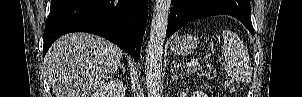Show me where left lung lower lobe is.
Here are the masks:
<instances>
[{"mask_svg": "<svg viewBox=\"0 0 302 97\" xmlns=\"http://www.w3.org/2000/svg\"><path fill=\"white\" fill-rule=\"evenodd\" d=\"M171 4L166 37L188 22L221 14L237 18L254 35L249 0H172Z\"/></svg>", "mask_w": 302, "mask_h": 97, "instance_id": "1", "label": "left lung lower lobe"}]
</instances>
